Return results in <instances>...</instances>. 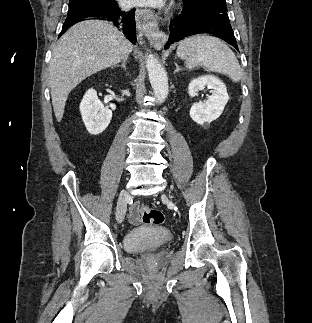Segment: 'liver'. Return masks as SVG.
Instances as JSON below:
<instances>
[{
	"mask_svg": "<svg viewBox=\"0 0 312 323\" xmlns=\"http://www.w3.org/2000/svg\"><path fill=\"white\" fill-rule=\"evenodd\" d=\"M132 52L129 40L112 22L85 20L65 32L52 48L48 74L52 106L61 122L66 100L80 82L101 70L116 66Z\"/></svg>",
	"mask_w": 312,
	"mask_h": 323,
	"instance_id": "liver-1",
	"label": "liver"
}]
</instances>
